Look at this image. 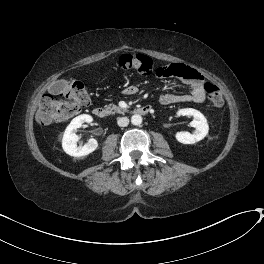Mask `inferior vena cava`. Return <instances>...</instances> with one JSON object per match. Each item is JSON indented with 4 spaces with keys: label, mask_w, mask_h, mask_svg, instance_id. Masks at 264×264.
Here are the masks:
<instances>
[{
    "label": "inferior vena cava",
    "mask_w": 264,
    "mask_h": 264,
    "mask_svg": "<svg viewBox=\"0 0 264 264\" xmlns=\"http://www.w3.org/2000/svg\"><path fill=\"white\" fill-rule=\"evenodd\" d=\"M117 124L120 127H125L129 124V119L127 117H119L117 119Z\"/></svg>",
    "instance_id": "602c4592"
}]
</instances>
